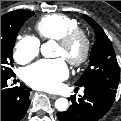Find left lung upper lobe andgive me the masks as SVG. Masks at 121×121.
Segmentation results:
<instances>
[{
    "mask_svg": "<svg viewBox=\"0 0 121 121\" xmlns=\"http://www.w3.org/2000/svg\"><path fill=\"white\" fill-rule=\"evenodd\" d=\"M83 18L94 29L96 42L92 47L90 63L75 85L78 87L101 85L116 90L120 78V69L113 46L96 21L87 15H84Z\"/></svg>",
    "mask_w": 121,
    "mask_h": 121,
    "instance_id": "5c2ea615",
    "label": "left lung upper lobe"
}]
</instances>
